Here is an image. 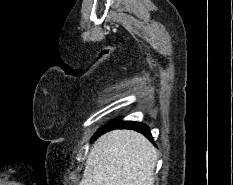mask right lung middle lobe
<instances>
[{
  "mask_svg": "<svg viewBox=\"0 0 233 185\" xmlns=\"http://www.w3.org/2000/svg\"><path fill=\"white\" fill-rule=\"evenodd\" d=\"M99 135V131L94 135V137L92 138V141H94Z\"/></svg>",
  "mask_w": 233,
  "mask_h": 185,
  "instance_id": "obj_1",
  "label": "right lung middle lobe"
}]
</instances>
